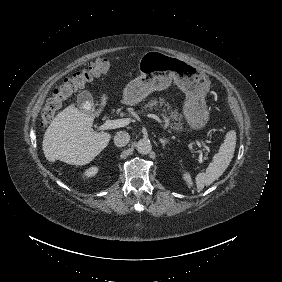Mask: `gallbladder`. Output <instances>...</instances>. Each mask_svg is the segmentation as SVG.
Wrapping results in <instances>:
<instances>
[{"instance_id": "obj_1", "label": "gallbladder", "mask_w": 282, "mask_h": 282, "mask_svg": "<svg viewBox=\"0 0 282 282\" xmlns=\"http://www.w3.org/2000/svg\"><path fill=\"white\" fill-rule=\"evenodd\" d=\"M93 103V98L89 94V92L85 91L78 95L77 98V107L80 110H85L88 106H90Z\"/></svg>"}]
</instances>
